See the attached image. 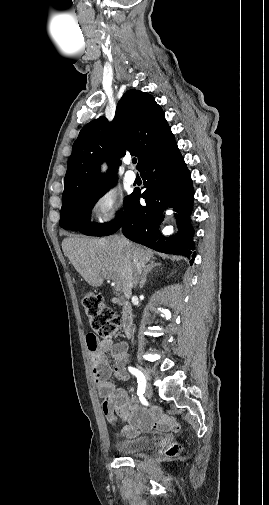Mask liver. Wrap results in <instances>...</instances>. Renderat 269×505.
Wrapping results in <instances>:
<instances>
[{"mask_svg":"<svg viewBox=\"0 0 269 505\" xmlns=\"http://www.w3.org/2000/svg\"><path fill=\"white\" fill-rule=\"evenodd\" d=\"M64 255L91 286H101L110 275L121 284L126 299L132 295L135 256L142 267L154 257L151 249L135 244L119 235L105 238L73 236L62 242Z\"/></svg>","mask_w":269,"mask_h":505,"instance_id":"liver-1","label":"liver"}]
</instances>
